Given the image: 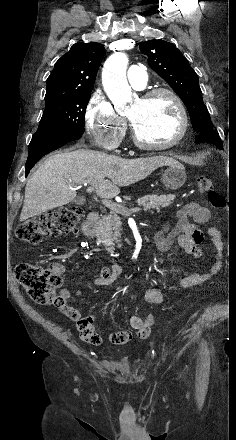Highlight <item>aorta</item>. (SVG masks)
Returning a JSON list of instances; mask_svg holds the SVG:
<instances>
[{"instance_id":"aorta-1","label":"aorta","mask_w":236,"mask_h":440,"mask_svg":"<svg viewBox=\"0 0 236 440\" xmlns=\"http://www.w3.org/2000/svg\"><path fill=\"white\" fill-rule=\"evenodd\" d=\"M127 65V55L117 52L106 60L102 73L104 90L119 113L125 111L135 98L126 78Z\"/></svg>"}]
</instances>
